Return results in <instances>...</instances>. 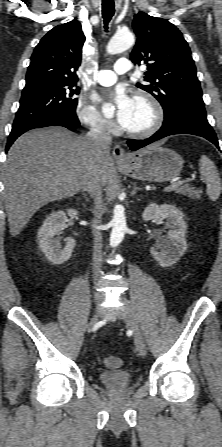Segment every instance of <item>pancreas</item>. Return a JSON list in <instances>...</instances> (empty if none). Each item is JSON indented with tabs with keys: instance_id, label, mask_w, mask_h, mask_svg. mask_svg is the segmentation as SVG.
<instances>
[{
	"instance_id": "1",
	"label": "pancreas",
	"mask_w": 222,
	"mask_h": 447,
	"mask_svg": "<svg viewBox=\"0 0 222 447\" xmlns=\"http://www.w3.org/2000/svg\"><path fill=\"white\" fill-rule=\"evenodd\" d=\"M176 193L190 197L191 199H200L201 191L190 185H184L175 190Z\"/></svg>"
}]
</instances>
